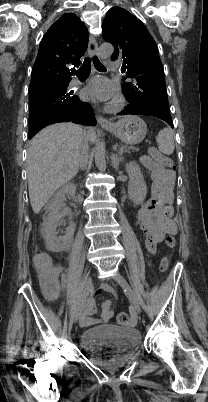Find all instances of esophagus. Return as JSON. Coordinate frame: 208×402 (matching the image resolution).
<instances>
[{
  "label": "esophagus",
  "instance_id": "34e87169",
  "mask_svg": "<svg viewBox=\"0 0 208 402\" xmlns=\"http://www.w3.org/2000/svg\"><path fill=\"white\" fill-rule=\"evenodd\" d=\"M89 57H97L99 56V46L94 37H89L88 49H87ZM97 121L101 126L111 125V122L106 118L102 117V115H97Z\"/></svg>",
  "mask_w": 208,
  "mask_h": 402
}]
</instances>
